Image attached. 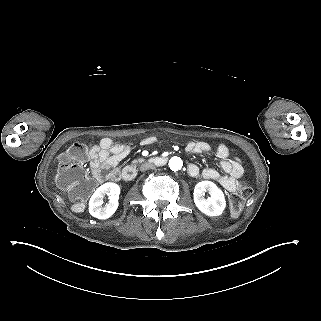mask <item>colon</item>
Listing matches in <instances>:
<instances>
[{
  "instance_id": "1",
  "label": "colon",
  "mask_w": 321,
  "mask_h": 321,
  "mask_svg": "<svg viewBox=\"0 0 321 321\" xmlns=\"http://www.w3.org/2000/svg\"><path fill=\"white\" fill-rule=\"evenodd\" d=\"M89 156L86 144L76 142L72 144L60 157L57 182L66 188L74 200L73 208L82 210L86 199L91 194L94 183L84 168V163ZM251 194L249 186H240L230 199L231 214L235 217L243 210L245 200Z\"/></svg>"
}]
</instances>
